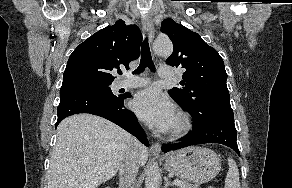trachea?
<instances>
[{
	"label": "trachea",
	"mask_w": 292,
	"mask_h": 188,
	"mask_svg": "<svg viewBox=\"0 0 292 188\" xmlns=\"http://www.w3.org/2000/svg\"><path fill=\"white\" fill-rule=\"evenodd\" d=\"M146 67L151 71L155 70V65L152 61L151 52L149 48L148 39L146 38L141 47V60L138 68L133 72L134 74L141 73Z\"/></svg>",
	"instance_id": "1"
}]
</instances>
